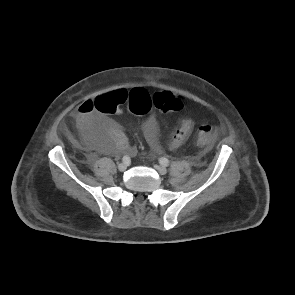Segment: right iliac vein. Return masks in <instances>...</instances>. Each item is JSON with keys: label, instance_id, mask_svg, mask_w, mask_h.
<instances>
[{"label": "right iliac vein", "instance_id": "obj_1", "mask_svg": "<svg viewBox=\"0 0 295 295\" xmlns=\"http://www.w3.org/2000/svg\"><path fill=\"white\" fill-rule=\"evenodd\" d=\"M127 169V164L126 163H120L119 165H118V170L119 171H121V172H123V171H125Z\"/></svg>", "mask_w": 295, "mask_h": 295}]
</instances>
